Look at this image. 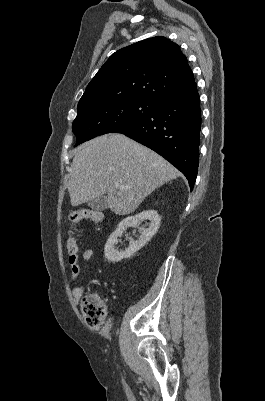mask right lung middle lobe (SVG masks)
Listing matches in <instances>:
<instances>
[{"instance_id":"right-lung-middle-lobe-1","label":"right lung middle lobe","mask_w":265,"mask_h":401,"mask_svg":"<svg viewBox=\"0 0 265 401\" xmlns=\"http://www.w3.org/2000/svg\"><path fill=\"white\" fill-rule=\"evenodd\" d=\"M157 104L144 98H105L78 106L72 124L76 145L146 118Z\"/></svg>"}]
</instances>
